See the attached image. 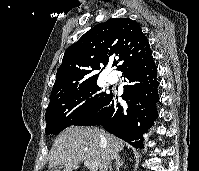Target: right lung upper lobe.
Segmentation results:
<instances>
[{"instance_id": "right-lung-upper-lobe-1", "label": "right lung upper lobe", "mask_w": 199, "mask_h": 171, "mask_svg": "<svg viewBox=\"0 0 199 171\" xmlns=\"http://www.w3.org/2000/svg\"><path fill=\"white\" fill-rule=\"evenodd\" d=\"M151 56L147 37L139 24L130 18H114L97 24L75 44L68 47L57 70L49 105L95 82L97 70H103L109 59L123 71Z\"/></svg>"}]
</instances>
